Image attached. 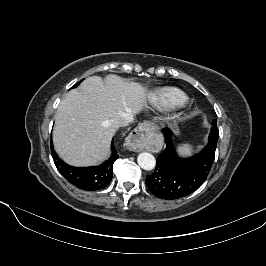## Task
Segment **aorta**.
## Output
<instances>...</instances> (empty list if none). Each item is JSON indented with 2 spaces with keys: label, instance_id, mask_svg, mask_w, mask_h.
Returning <instances> with one entry per match:
<instances>
[{
  "label": "aorta",
  "instance_id": "obj_1",
  "mask_svg": "<svg viewBox=\"0 0 266 266\" xmlns=\"http://www.w3.org/2000/svg\"><path fill=\"white\" fill-rule=\"evenodd\" d=\"M137 162L142 169L147 171L154 169L156 165L155 157L148 152L140 153Z\"/></svg>",
  "mask_w": 266,
  "mask_h": 266
}]
</instances>
